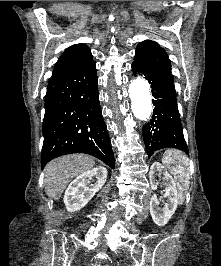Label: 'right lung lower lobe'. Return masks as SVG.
<instances>
[{
	"label": "right lung lower lobe",
	"instance_id": "1",
	"mask_svg": "<svg viewBox=\"0 0 221 266\" xmlns=\"http://www.w3.org/2000/svg\"><path fill=\"white\" fill-rule=\"evenodd\" d=\"M41 168L52 159L86 153L114 168V155L99 103L94 60L49 80L43 121Z\"/></svg>",
	"mask_w": 221,
	"mask_h": 266
}]
</instances>
